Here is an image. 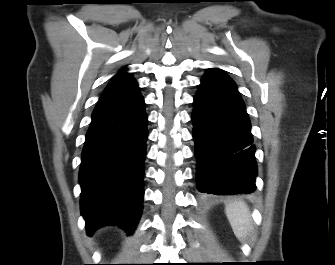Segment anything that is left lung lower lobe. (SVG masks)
<instances>
[{
	"label": "left lung lower lobe",
	"instance_id": "0a47b994",
	"mask_svg": "<svg viewBox=\"0 0 335 265\" xmlns=\"http://www.w3.org/2000/svg\"><path fill=\"white\" fill-rule=\"evenodd\" d=\"M197 185L214 195L251 193L257 165L251 125L234 81L208 69L194 97L192 114Z\"/></svg>",
	"mask_w": 335,
	"mask_h": 265
}]
</instances>
